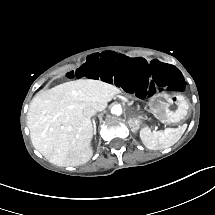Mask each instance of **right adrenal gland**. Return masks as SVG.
<instances>
[{"instance_id":"1","label":"right adrenal gland","mask_w":215,"mask_h":215,"mask_svg":"<svg viewBox=\"0 0 215 215\" xmlns=\"http://www.w3.org/2000/svg\"><path fill=\"white\" fill-rule=\"evenodd\" d=\"M92 122H93V127H94V132L93 133L96 135V123H95V120L93 119Z\"/></svg>"}]
</instances>
